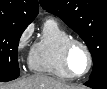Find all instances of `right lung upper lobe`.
Listing matches in <instances>:
<instances>
[{
  "instance_id": "cb5924a9",
  "label": "right lung upper lobe",
  "mask_w": 107,
  "mask_h": 89,
  "mask_svg": "<svg viewBox=\"0 0 107 89\" xmlns=\"http://www.w3.org/2000/svg\"><path fill=\"white\" fill-rule=\"evenodd\" d=\"M38 14V0H0V20L30 24Z\"/></svg>"
}]
</instances>
